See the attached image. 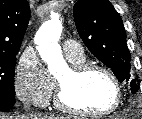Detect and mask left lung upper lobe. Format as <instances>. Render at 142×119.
Returning a JSON list of instances; mask_svg holds the SVG:
<instances>
[{"label":"left lung upper lobe","mask_w":142,"mask_h":119,"mask_svg":"<svg viewBox=\"0 0 142 119\" xmlns=\"http://www.w3.org/2000/svg\"><path fill=\"white\" fill-rule=\"evenodd\" d=\"M78 33L87 46L120 82L130 79V53L120 15L109 0H79L73 8ZM132 93L138 91L135 80Z\"/></svg>","instance_id":"5c2ea615"}]
</instances>
